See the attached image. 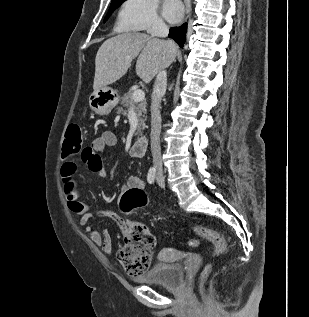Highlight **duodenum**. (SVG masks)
I'll return each mask as SVG.
<instances>
[{"instance_id":"obj_1","label":"duodenum","mask_w":309,"mask_h":317,"mask_svg":"<svg viewBox=\"0 0 309 317\" xmlns=\"http://www.w3.org/2000/svg\"><path fill=\"white\" fill-rule=\"evenodd\" d=\"M147 148V139L144 136L139 137L129 148V154L132 157H142Z\"/></svg>"}]
</instances>
